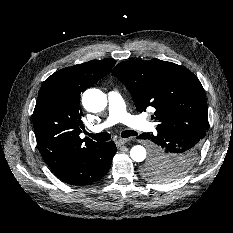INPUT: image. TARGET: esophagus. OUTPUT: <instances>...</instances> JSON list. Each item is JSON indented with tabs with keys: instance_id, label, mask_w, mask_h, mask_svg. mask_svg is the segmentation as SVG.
I'll use <instances>...</instances> for the list:
<instances>
[{
	"instance_id": "34e87169",
	"label": "esophagus",
	"mask_w": 233,
	"mask_h": 233,
	"mask_svg": "<svg viewBox=\"0 0 233 233\" xmlns=\"http://www.w3.org/2000/svg\"><path fill=\"white\" fill-rule=\"evenodd\" d=\"M129 141V139H125V138H118L115 143L117 147H120L122 145H124L125 143H127Z\"/></svg>"
}]
</instances>
